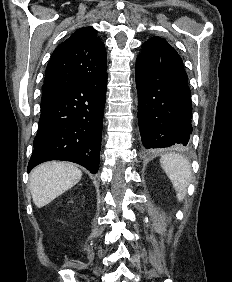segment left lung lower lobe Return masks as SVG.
I'll return each instance as SVG.
<instances>
[{"label": "left lung lower lobe", "mask_w": 232, "mask_h": 282, "mask_svg": "<svg viewBox=\"0 0 232 282\" xmlns=\"http://www.w3.org/2000/svg\"><path fill=\"white\" fill-rule=\"evenodd\" d=\"M142 49L135 78L144 149L188 147L192 104L182 59L162 38L148 40Z\"/></svg>", "instance_id": "0a47b994"}]
</instances>
